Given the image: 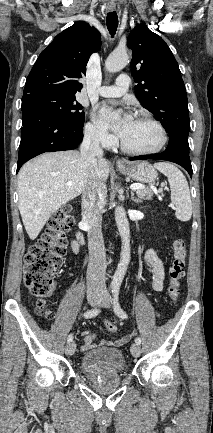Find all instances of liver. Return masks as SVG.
I'll return each mask as SVG.
<instances>
[{"instance_id": "liver-1", "label": "liver", "mask_w": 213, "mask_h": 433, "mask_svg": "<svg viewBox=\"0 0 213 433\" xmlns=\"http://www.w3.org/2000/svg\"><path fill=\"white\" fill-rule=\"evenodd\" d=\"M109 165L103 158L94 169L95 176L105 182ZM91 163L78 151L42 154L25 163L18 173V207L26 232L37 238L51 215L79 196L88 186ZM71 182V186L67 183Z\"/></svg>"}]
</instances>
